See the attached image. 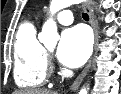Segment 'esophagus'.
Returning <instances> with one entry per match:
<instances>
[{
    "instance_id": "obj_1",
    "label": "esophagus",
    "mask_w": 121,
    "mask_h": 94,
    "mask_svg": "<svg viewBox=\"0 0 121 94\" xmlns=\"http://www.w3.org/2000/svg\"><path fill=\"white\" fill-rule=\"evenodd\" d=\"M82 6H83L84 10L89 15L90 24H91V26L93 28V31H94L95 46H94V53L91 56V58L89 59L88 63L86 64L85 68L80 73V75L75 79V81L72 83V85L70 87L71 91H76L78 89V87L80 86L81 82L83 81L84 77L86 76V74H87V72H88V70H89V68L91 66L93 57L95 55L96 47H97L98 41H99V32H98V28H97L95 20H94L93 12H92L91 8L89 7V5L87 3H83Z\"/></svg>"
}]
</instances>
